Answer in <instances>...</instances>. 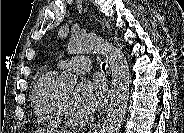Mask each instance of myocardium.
I'll use <instances>...</instances> for the list:
<instances>
[{"mask_svg": "<svg viewBox=\"0 0 184 133\" xmlns=\"http://www.w3.org/2000/svg\"><path fill=\"white\" fill-rule=\"evenodd\" d=\"M62 102L65 109H71V103L62 95Z\"/></svg>", "mask_w": 184, "mask_h": 133, "instance_id": "obj_1", "label": "myocardium"}]
</instances>
